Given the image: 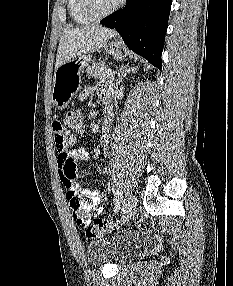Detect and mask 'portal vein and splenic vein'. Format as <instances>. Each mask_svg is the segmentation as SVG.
<instances>
[{"mask_svg": "<svg viewBox=\"0 0 233 286\" xmlns=\"http://www.w3.org/2000/svg\"><path fill=\"white\" fill-rule=\"evenodd\" d=\"M114 71L112 69H108L106 70V74L110 75V76H113L114 75Z\"/></svg>", "mask_w": 233, "mask_h": 286, "instance_id": "18ae733b", "label": "portal vein and splenic vein"}]
</instances>
